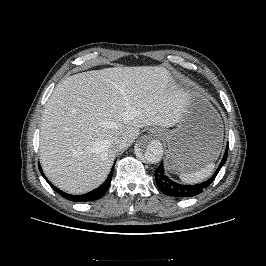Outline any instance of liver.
Listing matches in <instances>:
<instances>
[{
	"label": "liver",
	"instance_id": "6515ba94",
	"mask_svg": "<svg viewBox=\"0 0 266 266\" xmlns=\"http://www.w3.org/2000/svg\"><path fill=\"white\" fill-rule=\"evenodd\" d=\"M187 99L170 71L162 66L113 67L62 80L43 110L40 159L58 188L83 194L108 176L116 151L111 140L140 128H169L182 116Z\"/></svg>",
	"mask_w": 266,
	"mask_h": 266
}]
</instances>
